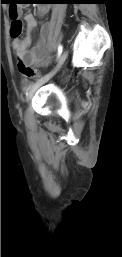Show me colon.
Returning <instances> with one entry per match:
<instances>
[{"label":"colon","mask_w":122,"mask_h":257,"mask_svg":"<svg viewBox=\"0 0 122 257\" xmlns=\"http://www.w3.org/2000/svg\"><path fill=\"white\" fill-rule=\"evenodd\" d=\"M24 5H7V10H9V16L11 18V28L10 33L13 38H19L23 31V24L22 21L19 19V12L18 10H24ZM18 70L21 75L25 78H33L37 76V70L29 66L23 62H19Z\"/></svg>","instance_id":"obj_1"}]
</instances>
